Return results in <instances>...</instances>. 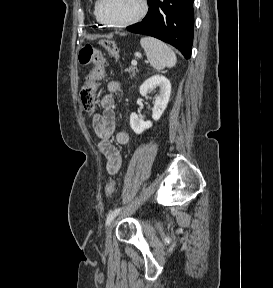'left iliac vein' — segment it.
I'll list each match as a JSON object with an SVG mask.
<instances>
[{"instance_id": "4c4485c4", "label": "left iliac vein", "mask_w": 273, "mask_h": 288, "mask_svg": "<svg viewBox=\"0 0 273 288\" xmlns=\"http://www.w3.org/2000/svg\"><path fill=\"white\" fill-rule=\"evenodd\" d=\"M117 219L113 220L109 226L106 229V234H105V245L106 247H111L112 245V230L114 227V224L116 223Z\"/></svg>"}]
</instances>
